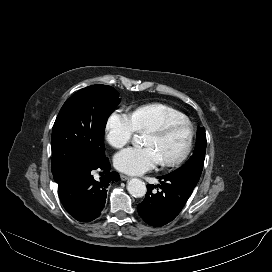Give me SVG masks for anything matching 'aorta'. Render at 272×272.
<instances>
[{
	"label": "aorta",
	"instance_id": "1",
	"mask_svg": "<svg viewBox=\"0 0 272 272\" xmlns=\"http://www.w3.org/2000/svg\"><path fill=\"white\" fill-rule=\"evenodd\" d=\"M133 140L136 143H139V136L134 135ZM127 190L133 197L141 198L146 194L147 188L142 180L138 178H133L128 181Z\"/></svg>",
	"mask_w": 272,
	"mask_h": 272
}]
</instances>
